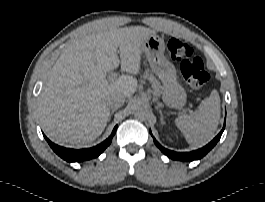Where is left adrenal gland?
Here are the masks:
<instances>
[{
	"mask_svg": "<svg viewBox=\"0 0 265 202\" xmlns=\"http://www.w3.org/2000/svg\"><path fill=\"white\" fill-rule=\"evenodd\" d=\"M156 108L158 109L159 107H158V106H156ZM159 113H160V121H161V123H162V124H164V118H163L162 111H161V110H159Z\"/></svg>",
	"mask_w": 265,
	"mask_h": 202,
	"instance_id": "1",
	"label": "left adrenal gland"
}]
</instances>
